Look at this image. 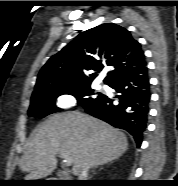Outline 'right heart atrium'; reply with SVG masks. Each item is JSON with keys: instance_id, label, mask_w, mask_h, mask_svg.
Returning <instances> with one entry per match:
<instances>
[{"instance_id": "1", "label": "right heart atrium", "mask_w": 178, "mask_h": 186, "mask_svg": "<svg viewBox=\"0 0 178 186\" xmlns=\"http://www.w3.org/2000/svg\"><path fill=\"white\" fill-rule=\"evenodd\" d=\"M78 103V97L74 93H62L59 94L56 99V107L60 110H66L76 106Z\"/></svg>"}]
</instances>
